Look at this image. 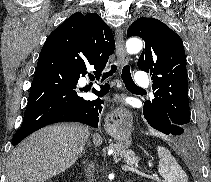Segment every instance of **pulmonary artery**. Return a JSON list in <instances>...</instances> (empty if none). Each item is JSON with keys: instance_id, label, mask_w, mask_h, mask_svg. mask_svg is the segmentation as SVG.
<instances>
[{"instance_id": "pulmonary-artery-1", "label": "pulmonary artery", "mask_w": 211, "mask_h": 182, "mask_svg": "<svg viewBox=\"0 0 211 182\" xmlns=\"http://www.w3.org/2000/svg\"><path fill=\"white\" fill-rule=\"evenodd\" d=\"M134 82L137 85L146 86L149 83V78L146 73L139 71L134 77Z\"/></svg>"}]
</instances>
